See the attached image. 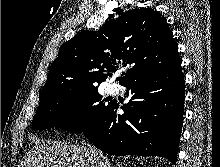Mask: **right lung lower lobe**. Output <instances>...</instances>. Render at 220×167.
<instances>
[{
    "instance_id": "98d812e1",
    "label": "right lung lower lobe",
    "mask_w": 220,
    "mask_h": 167,
    "mask_svg": "<svg viewBox=\"0 0 220 167\" xmlns=\"http://www.w3.org/2000/svg\"><path fill=\"white\" fill-rule=\"evenodd\" d=\"M130 102L117 113L108 108L84 135L95 147L112 155L159 156L176 162L183 125L184 78L180 63L167 70L152 71L125 84Z\"/></svg>"
}]
</instances>
